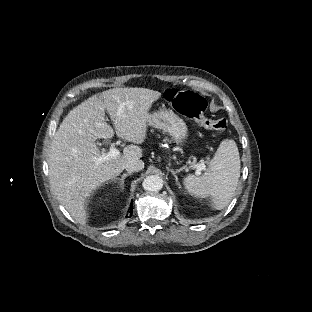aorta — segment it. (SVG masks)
<instances>
[{"label": "aorta", "mask_w": 312, "mask_h": 312, "mask_svg": "<svg viewBox=\"0 0 312 312\" xmlns=\"http://www.w3.org/2000/svg\"><path fill=\"white\" fill-rule=\"evenodd\" d=\"M142 186L147 191H159L163 187V180L157 175H150L144 179Z\"/></svg>", "instance_id": "762f6f07"}]
</instances>
